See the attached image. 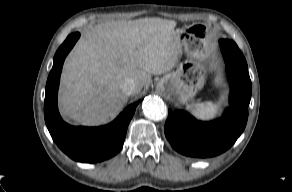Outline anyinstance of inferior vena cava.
<instances>
[{
	"instance_id": "602c4592",
	"label": "inferior vena cava",
	"mask_w": 292,
	"mask_h": 192,
	"mask_svg": "<svg viewBox=\"0 0 292 192\" xmlns=\"http://www.w3.org/2000/svg\"><path fill=\"white\" fill-rule=\"evenodd\" d=\"M121 88L126 95H132L135 91V82L132 79H125Z\"/></svg>"
}]
</instances>
